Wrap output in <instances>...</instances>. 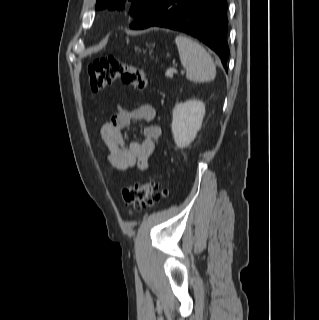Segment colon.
I'll list each match as a JSON object with an SVG mask.
<instances>
[{
  "instance_id": "5ec220e1",
  "label": "colon",
  "mask_w": 319,
  "mask_h": 320,
  "mask_svg": "<svg viewBox=\"0 0 319 320\" xmlns=\"http://www.w3.org/2000/svg\"><path fill=\"white\" fill-rule=\"evenodd\" d=\"M90 86L93 90H102L120 79L136 90H143L147 85L144 73L135 65L121 61L112 54H107L88 66ZM167 189L156 179L124 187L121 197L129 209L141 206H153L167 197Z\"/></svg>"
}]
</instances>
